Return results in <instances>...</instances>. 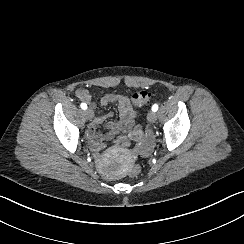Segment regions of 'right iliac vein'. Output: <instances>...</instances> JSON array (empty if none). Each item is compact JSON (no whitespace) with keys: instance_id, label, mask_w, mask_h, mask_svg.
Instances as JSON below:
<instances>
[{"instance_id":"right-iliac-vein-1","label":"right iliac vein","mask_w":244,"mask_h":244,"mask_svg":"<svg viewBox=\"0 0 244 244\" xmlns=\"http://www.w3.org/2000/svg\"><path fill=\"white\" fill-rule=\"evenodd\" d=\"M84 115L87 117V119L91 120L94 116L93 110L92 109H86L84 111Z\"/></svg>"}]
</instances>
